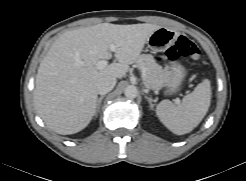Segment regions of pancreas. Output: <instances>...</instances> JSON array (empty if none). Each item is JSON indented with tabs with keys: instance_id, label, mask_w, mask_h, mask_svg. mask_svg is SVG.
<instances>
[{
	"instance_id": "obj_1",
	"label": "pancreas",
	"mask_w": 246,
	"mask_h": 181,
	"mask_svg": "<svg viewBox=\"0 0 246 181\" xmlns=\"http://www.w3.org/2000/svg\"><path fill=\"white\" fill-rule=\"evenodd\" d=\"M135 65L141 70L142 81L148 89L158 90L169 76L168 70L158 65L149 54L140 55Z\"/></svg>"
}]
</instances>
